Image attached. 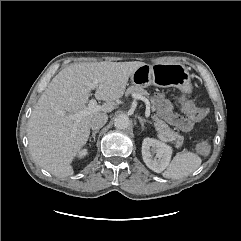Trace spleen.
<instances>
[{"label":"spleen","mask_w":241,"mask_h":241,"mask_svg":"<svg viewBox=\"0 0 241 241\" xmlns=\"http://www.w3.org/2000/svg\"><path fill=\"white\" fill-rule=\"evenodd\" d=\"M201 158L192 152L177 153L163 172L162 176L167 179H180L190 175L201 165Z\"/></svg>","instance_id":"1"}]
</instances>
